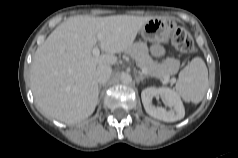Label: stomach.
Returning <instances> with one entry per match:
<instances>
[{"mask_svg":"<svg viewBox=\"0 0 238 158\" xmlns=\"http://www.w3.org/2000/svg\"><path fill=\"white\" fill-rule=\"evenodd\" d=\"M173 23L161 18H152L141 28V35L151 42L166 43L173 31Z\"/></svg>","mask_w":238,"mask_h":158,"instance_id":"1","label":"stomach"}]
</instances>
